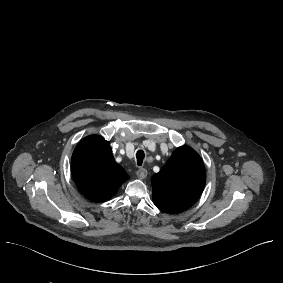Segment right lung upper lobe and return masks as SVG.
Returning <instances> with one entry per match:
<instances>
[{"instance_id":"cb5924a9","label":"right lung upper lobe","mask_w":283,"mask_h":283,"mask_svg":"<svg viewBox=\"0 0 283 283\" xmlns=\"http://www.w3.org/2000/svg\"><path fill=\"white\" fill-rule=\"evenodd\" d=\"M76 186L89 200L104 202L128 179L112 155L110 143L98 135L80 141L71 160Z\"/></svg>"}]
</instances>
